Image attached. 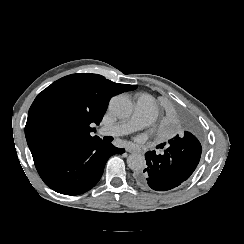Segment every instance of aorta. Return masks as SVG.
<instances>
[{"label": "aorta", "mask_w": 244, "mask_h": 244, "mask_svg": "<svg viewBox=\"0 0 244 244\" xmlns=\"http://www.w3.org/2000/svg\"><path fill=\"white\" fill-rule=\"evenodd\" d=\"M108 108L111 114L119 119L127 118L133 112L131 100L122 94L112 97ZM127 165L131 170L142 171L146 167V161L143 155L133 153L128 156Z\"/></svg>", "instance_id": "obj_1"}]
</instances>
